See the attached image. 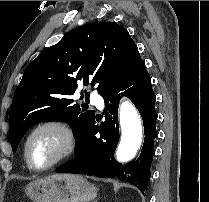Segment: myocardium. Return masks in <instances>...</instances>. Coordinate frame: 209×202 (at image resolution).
I'll list each match as a JSON object with an SVG mask.
<instances>
[{
	"label": "myocardium",
	"instance_id": "myocardium-1",
	"mask_svg": "<svg viewBox=\"0 0 209 202\" xmlns=\"http://www.w3.org/2000/svg\"><path fill=\"white\" fill-rule=\"evenodd\" d=\"M45 129L54 130L59 134L61 139V146L51 162L42 167H39L36 166L31 159L29 144L34 135ZM23 149L25 161L28 167L35 172H44L70 159L78 149V140L73 129L64 121L59 119H46L37 123L30 129L24 139Z\"/></svg>",
	"mask_w": 209,
	"mask_h": 202
}]
</instances>
